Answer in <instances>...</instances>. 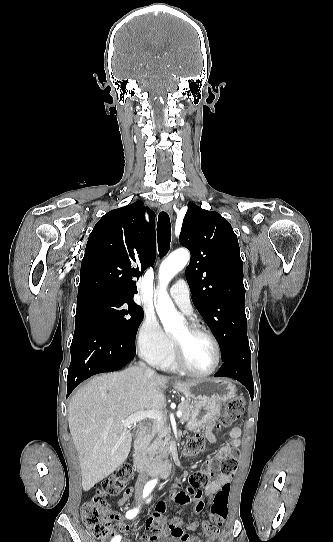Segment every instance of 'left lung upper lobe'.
Here are the masks:
<instances>
[{"label":"left lung upper lobe","instance_id":"5c2ea615","mask_svg":"<svg viewBox=\"0 0 333 542\" xmlns=\"http://www.w3.org/2000/svg\"><path fill=\"white\" fill-rule=\"evenodd\" d=\"M179 240L191 252L186 279L192 301L216 335L223 360L236 344L248 340L237 236L218 212L190 202Z\"/></svg>","mask_w":333,"mask_h":542}]
</instances>
